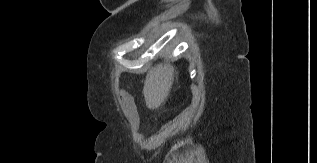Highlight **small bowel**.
<instances>
[{"label": "small bowel", "mask_w": 317, "mask_h": 163, "mask_svg": "<svg viewBox=\"0 0 317 163\" xmlns=\"http://www.w3.org/2000/svg\"><path fill=\"white\" fill-rule=\"evenodd\" d=\"M122 103H123V110L125 114L132 120V122H136L137 113H136L134 102L131 99V97L126 95V98L122 101Z\"/></svg>", "instance_id": "c3829d8e"}]
</instances>
